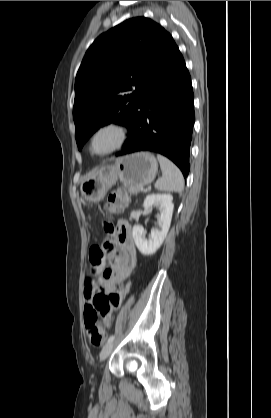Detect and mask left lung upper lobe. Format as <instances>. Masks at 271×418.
<instances>
[{
	"label": "left lung upper lobe",
	"instance_id": "5c2ea615",
	"mask_svg": "<svg viewBox=\"0 0 271 418\" xmlns=\"http://www.w3.org/2000/svg\"><path fill=\"white\" fill-rule=\"evenodd\" d=\"M172 42L163 27L145 17L126 20L93 42L75 79L73 118L79 150L101 126L128 124Z\"/></svg>",
	"mask_w": 271,
	"mask_h": 418
}]
</instances>
